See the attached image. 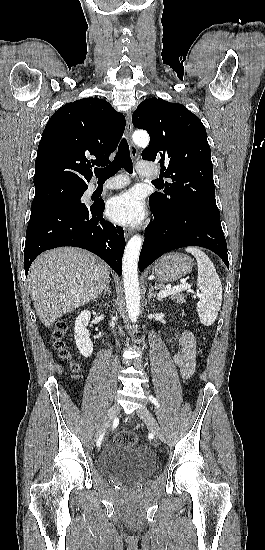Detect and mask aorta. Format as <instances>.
<instances>
[{
	"instance_id": "obj_1",
	"label": "aorta",
	"mask_w": 265,
	"mask_h": 550,
	"mask_svg": "<svg viewBox=\"0 0 265 550\" xmlns=\"http://www.w3.org/2000/svg\"><path fill=\"white\" fill-rule=\"evenodd\" d=\"M133 141L140 147L149 144V135L144 131L133 134ZM142 236L134 235L127 243L123 255V285L129 319L137 322L140 314V289L138 279V258L142 247Z\"/></svg>"
}]
</instances>
